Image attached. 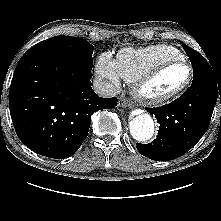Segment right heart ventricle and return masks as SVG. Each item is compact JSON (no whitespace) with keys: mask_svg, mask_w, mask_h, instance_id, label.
I'll use <instances>...</instances> for the list:
<instances>
[{"mask_svg":"<svg viewBox=\"0 0 221 221\" xmlns=\"http://www.w3.org/2000/svg\"><path fill=\"white\" fill-rule=\"evenodd\" d=\"M175 59H183L177 48L159 44L138 49L124 48L117 54L115 62L120 77L132 83L156 66Z\"/></svg>","mask_w":221,"mask_h":221,"instance_id":"1","label":"right heart ventricle"}]
</instances>
